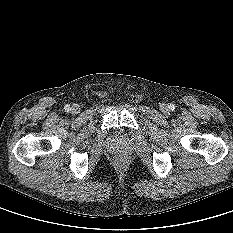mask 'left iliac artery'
<instances>
[{
    "instance_id": "1",
    "label": "left iliac artery",
    "mask_w": 233,
    "mask_h": 233,
    "mask_svg": "<svg viewBox=\"0 0 233 233\" xmlns=\"http://www.w3.org/2000/svg\"><path fill=\"white\" fill-rule=\"evenodd\" d=\"M175 107H176V106H175L174 104H170V105H169V108H170L171 110H175Z\"/></svg>"
}]
</instances>
